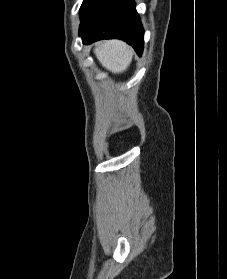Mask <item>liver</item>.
<instances>
[{
    "label": "liver",
    "instance_id": "liver-1",
    "mask_svg": "<svg viewBox=\"0 0 227 279\" xmlns=\"http://www.w3.org/2000/svg\"><path fill=\"white\" fill-rule=\"evenodd\" d=\"M94 54L104 68L116 74L129 67L134 51L123 41L108 40L98 42Z\"/></svg>",
    "mask_w": 227,
    "mask_h": 279
}]
</instances>
